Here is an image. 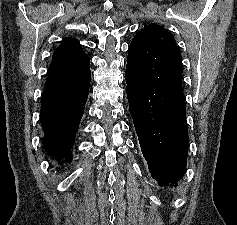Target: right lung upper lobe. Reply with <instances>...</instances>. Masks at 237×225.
<instances>
[{
  "mask_svg": "<svg viewBox=\"0 0 237 225\" xmlns=\"http://www.w3.org/2000/svg\"><path fill=\"white\" fill-rule=\"evenodd\" d=\"M48 72L46 89L76 88L91 78L90 58L77 39L66 38L55 49Z\"/></svg>",
  "mask_w": 237,
  "mask_h": 225,
  "instance_id": "right-lung-upper-lobe-1",
  "label": "right lung upper lobe"
}]
</instances>
